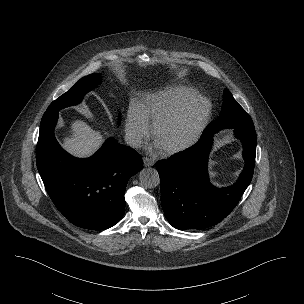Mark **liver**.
Wrapping results in <instances>:
<instances>
[{
	"label": "liver",
	"instance_id": "6515ba94",
	"mask_svg": "<svg viewBox=\"0 0 304 304\" xmlns=\"http://www.w3.org/2000/svg\"><path fill=\"white\" fill-rule=\"evenodd\" d=\"M70 135L63 139V148L73 156L88 157L103 143V135L83 120H74L70 126Z\"/></svg>",
	"mask_w": 304,
	"mask_h": 304
}]
</instances>
